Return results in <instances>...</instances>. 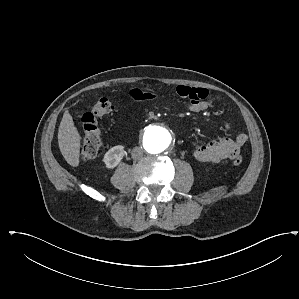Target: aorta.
I'll use <instances>...</instances> for the list:
<instances>
[{"mask_svg": "<svg viewBox=\"0 0 299 299\" xmlns=\"http://www.w3.org/2000/svg\"><path fill=\"white\" fill-rule=\"evenodd\" d=\"M172 136L168 129L159 125L148 126L143 134L142 144L147 154L157 156L170 146Z\"/></svg>", "mask_w": 299, "mask_h": 299, "instance_id": "762f6f07", "label": "aorta"}]
</instances>
